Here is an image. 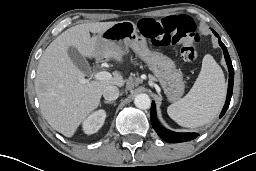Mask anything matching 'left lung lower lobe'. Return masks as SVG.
<instances>
[{
  "instance_id": "left-lung-lower-lobe-1",
  "label": "left lung lower lobe",
  "mask_w": 256,
  "mask_h": 171,
  "mask_svg": "<svg viewBox=\"0 0 256 171\" xmlns=\"http://www.w3.org/2000/svg\"><path fill=\"white\" fill-rule=\"evenodd\" d=\"M213 33L217 35V33L213 30ZM219 45L222 47L223 52H224V56L226 59V63L228 66V70H229V83H228V92H227V98H226V102L224 105V108L220 114V118L225 114L226 110L229 107L230 104V100L232 97V92H233V80H234V69L227 51L226 46L221 42V40H219ZM150 118H151V123L152 126L154 128V130L157 132V134L159 135L160 138H162L163 140L170 142V143H179V142H185V141H189V140H193L195 139L197 136H199L198 133H178V132H173L170 130L165 129L157 120L156 117V107H155V103L152 102L151 105V112H150Z\"/></svg>"
}]
</instances>
